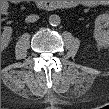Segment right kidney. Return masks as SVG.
Masks as SVG:
<instances>
[{
    "label": "right kidney",
    "mask_w": 109,
    "mask_h": 109,
    "mask_svg": "<svg viewBox=\"0 0 109 109\" xmlns=\"http://www.w3.org/2000/svg\"><path fill=\"white\" fill-rule=\"evenodd\" d=\"M11 34H12V29L11 27H5L4 31L1 34V48L5 49L10 41L11 38Z\"/></svg>",
    "instance_id": "obj_1"
}]
</instances>
